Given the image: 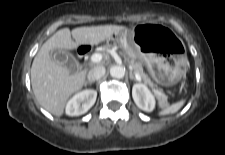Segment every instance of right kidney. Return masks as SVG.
Listing matches in <instances>:
<instances>
[{
	"label": "right kidney",
	"instance_id": "obj_1",
	"mask_svg": "<svg viewBox=\"0 0 225 155\" xmlns=\"http://www.w3.org/2000/svg\"><path fill=\"white\" fill-rule=\"evenodd\" d=\"M97 92L92 89L83 90L74 95L66 105V114L79 116L85 114L95 103Z\"/></svg>",
	"mask_w": 225,
	"mask_h": 155
}]
</instances>
